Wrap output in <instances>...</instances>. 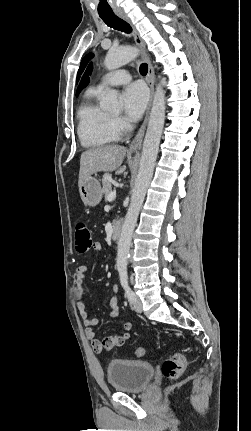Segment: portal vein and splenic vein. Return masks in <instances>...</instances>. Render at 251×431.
Instances as JSON below:
<instances>
[{
	"label": "portal vein and splenic vein",
	"mask_w": 251,
	"mask_h": 431,
	"mask_svg": "<svg viewBox=\"0 0 251 431\" xmlns=\"http://www.w3.org/2000/svg\"><path fill=\"white\" fill-rule=\"evenodd\" d=\"M115 197H116V193L115 192H111L108 195L107 199H108V201H113L115 199Z\"/></svg>",
	"instance_id": "18ae733b"
}]
</instances>
